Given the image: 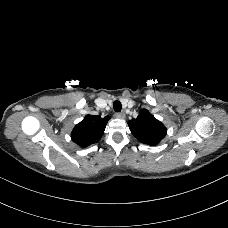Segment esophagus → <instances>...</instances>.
<instances>
[{"label":"esophagus","instance_id":"34e87169","mask_svg":"<svg viewBox=\"0 0 228 228\" xmlns=\"http://www.w3.org/2000/svg\"><path fill=\"white\" fill-rule=\"evenodd\" d=\"M115 117L123 119V118H125V114H124V112H118V113L115 114Z\"/></svg>","mask_w":228,"mask_h":228}]
</instances>
